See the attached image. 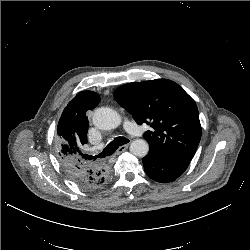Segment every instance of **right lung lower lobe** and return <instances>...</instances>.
I'll return each instance as SVG.
<instances>
[{"label": "right lung lower lobe", "mask_w": 250, "mask_h": 250, "mask_svg": "<svg viewBox=\"0 0 250 250\" xmlns=\"http://www.w3.org/2000/svg\"><path fill=\"white\" fill-rule=\"evenodd\" d=\"M102 170H104V172H95L91 168L76 171H68L65 169L71 180L84 189L98 188L108 180L110 175L109 168Z\"/></svg>", "instance_id": "98d812e1"}]
</instances>
